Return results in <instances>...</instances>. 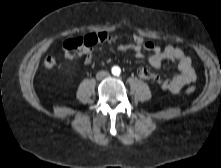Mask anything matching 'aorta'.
Here are the masks:
<instances>
[{
	"instance_id": "aorta-1",
	"label": "aorta",
	"mask_w": 221,
	"mask_h": 168,
	"mask_svg": "<svg viewBox=\"0 0 221 168\" xmlns=\"http://www.w3.org/2000/svg\"><path fill=\"white\" fill-rule=\"evenodd\" d=\"M112 73H113L114 75H118V74L120 73V68H118V67H113V68H112Z\"/></svg>"
}]
</instances>
